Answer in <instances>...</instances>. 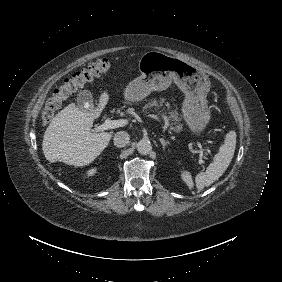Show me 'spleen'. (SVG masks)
Returning a JSON list of instances; mask_svg holds the SVG:
<instances>
[{
  "label": "spleen",
  "mask_w": 282,
  "mask_h": 282,
  "mask_svg": "<svg viewBox=\"0 0 282 282\" xmlns=\"http://www.w3.org/2000/svg\"><path fill=\"white\" fill-rule=\"evenodd\" d=\"M236 148V132L230 131L226 134L224 144L220 147L218 154L214 156L213 162L207 167L205 172H200L195 177L196 187L202 190L218 180L228 168L234 156ZM182 180L192 189L194 184L190 172L181 173Z\"/></svg>",
  "instance_id": "1"
}]
</instances>
